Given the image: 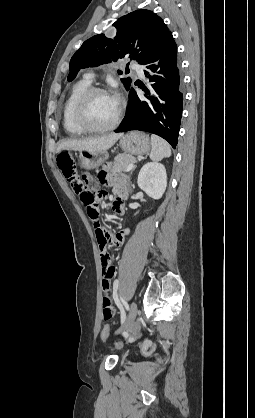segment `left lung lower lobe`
<instances>
[{
  "label": "left lung lower lobe",
  "mask_w": 255,
  "mask_h": 418,
  "mask_svg": "<svg viewBox=\"0 0 255 418\" xmlns=\"http://www.w3.org/2000/svg\"><path fill=\"white\" fill-rule=\"evenodd\" d=\"M142 65L149 78L150 90L139 97L131 87L126 116L115 132L147 131L177 145L182 116V73L177 46L172 37L167 45Z\"/></svg>",
  "instance_id": "left-lung-lower-lobe-1"
}]
</instances>
